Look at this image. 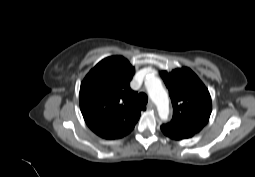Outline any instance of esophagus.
Instances as JSON below:
<instances>
[{"label": "esophagus", "mask_w": 255, "mask_h": 177, "mask_svg": "<svg viewBox=\"0 0 255 177\" xmlns=\"http://www.w3.org/2000/svg\"><path fill=\"white\" fill-rule=\"evenodd\" d=\"M155 105L152 101H150L148 104H147V109H154Z\"/></svg>", "instance_id": "esophagus-1"}]
</instances>
